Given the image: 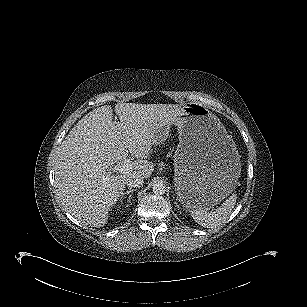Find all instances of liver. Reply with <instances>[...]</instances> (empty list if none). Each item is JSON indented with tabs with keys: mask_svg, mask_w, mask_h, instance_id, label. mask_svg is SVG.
<instances>
[{
	"mask_svg": "<svg viewBox=\"0 0 307 307\" xmlns=\"http://www.w3.org/2000/svg\"><path fill=\"white\" fill-rule=\"evenodd\" d=\"M181 105L118 103L105 105L84 116L62 142L55 158L56 191L63 207L79 222L103 227L108 211L123 194L133 176L149 178L154 164L147 160L158 138L150 121L170 119ZM137 158L132 170L110 175L108 169Z\"/></svg>",
	"mask_w": 307,
	"mask_h": 307,
	"instance_id": "liver-1",
	"label": "liver"
}]
</instances>
